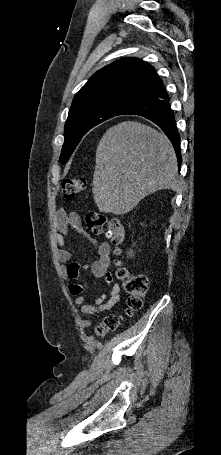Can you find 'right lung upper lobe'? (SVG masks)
I'll list each match as a JSON object with an SVG mask.
<instances>
[{
  "label": "right lung upper lobe",
  "instance_id": "cb5924a9",
  "mask_svg": "<svg viewBox=\"0 0 221 455\" xmlns=\"http://www.w3.org/2000/svg\"><path fill=\"white\" fill-rule=\"evenodd\" d=\"M159 81L154 68L138 58H122L97 71L75 95L70 111L92 103L123 109L148 95Z\"/></svg>",
  "mask_w": 221,
  "mask_h": 455
}]
</instances>
